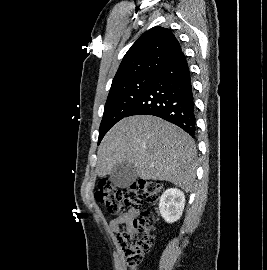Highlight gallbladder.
Instances as JSON below:
<instances>
[{"label": "gallbladder", "instance_id": "gallbladder-1", "mask_svg": "<svg viewBox=\"0 0 267 270\" xmlns=\"http://www.w3.org/2000/svg\"><path fill=\"white\" fill-rule=\"evenodd\" d=\"M137 177L136 167L129 162L115 165L110 173V181L119 188L129 187L136 181Z\"/></svg>", "mask_w": 267, "mask_h": 270}]
</instances>
